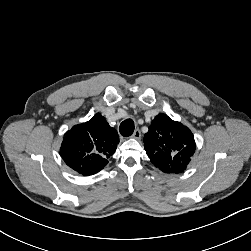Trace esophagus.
Here are the masks:
<instances>
[{"instance_id":"esophagus-1","label":"esophagus","mask_w":251,"mask_h":251,"mask_svg":"<svg viewBox=\"0 0 251 251\" xmlns=\"http://www.w3.org/2000/svg\"><path fill=\"white\" fill-rule=\"evenodd\" d=\"M131 137L134 138V139L139 140V139L141 138V132H140V130H139V129H136V130L134 131V133L132 134Z\"/></svg>"}]
</instances>
